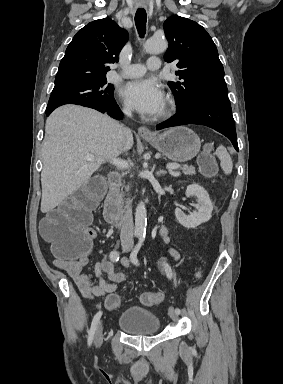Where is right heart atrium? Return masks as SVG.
<instances>
[{"mask_svg": "<svg viewBox=\"0 0 283 384\" xmlns=\"http://www.w3.org/2000/svg\"><path fill=\"white\" fill-rule=\"evenodd\" d=\"M123 111L124 112H128L129 111V109H128V107L125 105V106H123Z\"/></svg>", "mask_w": 283, "mask_h": 384, "instance_id": "right-heart-atrium-1", "label": "right heart atrium"}]
</instances>
